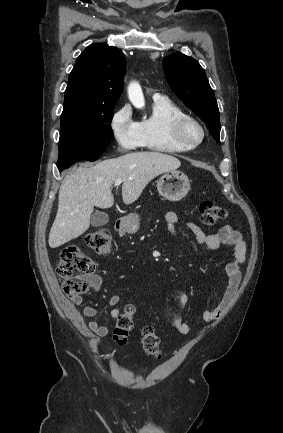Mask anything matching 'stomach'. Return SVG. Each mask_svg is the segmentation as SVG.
<instances>
[{
	"label": "stomach",
	"instance_id": "1",
	"mask_svg": "<svg viewBox=\"0 0 283 433\" xmlns=\"http://www.w3.org/2000/svg\"><path fill=\"white\" fill-rule=\"evenodd\" d=\"M158 192L167 198V200H181L186 196L190 190V180L187 174L181 172V170H168L165 174L160 176L157 182ZM122 229L125 233H137L139 229L138 214H127V217H123Z\"/></svg>",
	"mask_w": 283,
	"mask_h": 433
}]
</instances>
